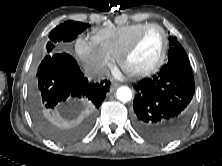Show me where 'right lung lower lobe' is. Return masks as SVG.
Instances as JSON below:
<instances>
[{
  "instance_id": "right-lung-lower-lobe-1",
  "label": "right lung lower lobe",
  "mask_w": 222,
  "mask_h": 166,
  "mask_svg": "<svg viewBox=\"0 0 222 166\" xmlns=\"http://www.w3.org/2000/svg\"><path fill=\"white\" fill-rule=\"evenodd\" d=\"M37 85L31 96V110L41 109L45 114L58 117L72 101L85 99L91 108L83 123L87 127L94 108H99L110 88V81L90 83L79 69L76 60L67 53H51L38 67ZM79 133H66L70 140Z\"/></svg>"
}]
</instances>
